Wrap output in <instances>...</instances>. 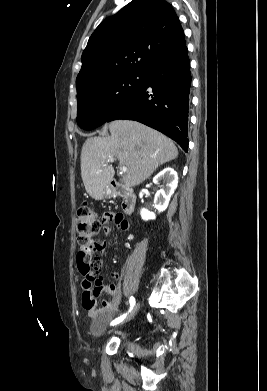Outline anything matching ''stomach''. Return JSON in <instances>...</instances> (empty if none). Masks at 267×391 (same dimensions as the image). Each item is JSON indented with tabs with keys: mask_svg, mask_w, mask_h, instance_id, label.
<instances>
[{
	"mask_svg": "<svg viewBox=\"0 0 267 391\" xmlns=\"http://www.w3.org/2000/svg\"><path fill=\"white\" fill-rule=\"evenodd\" d=\"M113 195V190L110 186H107L104 190H103V194H102V198H108V197H111Z\"/></svg>",
	"mask_w": 267,
	"mask_h": 391,
	"instance_id": "stomach-1",
	"label": "stomach"
}]
</instances>
